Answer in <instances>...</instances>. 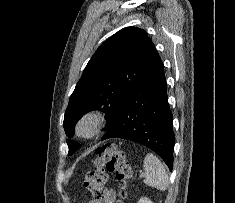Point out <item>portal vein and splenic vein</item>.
I'll list each match as a JSON object with an SVG mask.
<instances>
[{"label": "portal vein and splenic vein", "instance_id": "obj_1", "mask_svg": "<svg viewBox=\"0 0 235 203\" xmlns=\"http://www.w3.org/2000/svg\"><path fill=\"white\" fill-rule=\"evenodd\" d=\"M144 176H145V174H144V173H142V174H141V177H144Z\"/></svg>", "mask_w": 235, "mask_h": 203}]
</instances>
